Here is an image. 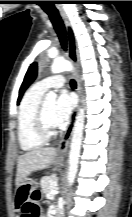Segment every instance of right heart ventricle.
<instances>
[{
    "label": "right heart ventricle",
    "instance_id": "right-heart-ventricle-1",
    "mask_svg": "<svg viewBox=\"0 0 132 217\" xmlns=\"http://www.w3.org/2000/svg\"><path fill=\"white\" fill-rule=\"evenodd\" d=\"M45 91L37 85L24 94L18 112V141L24 151L39 149L45 144L35 128V116Z\"/></svg>",
    "mask_w": 132,
    "mask_h": 217
}]
</instances>
